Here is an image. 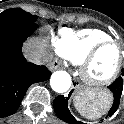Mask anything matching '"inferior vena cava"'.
<instances>
[{"instance_id": "inferior-vena-cava-1", "label": "inferior vena cava", "mask_w": 124, "mask_h": 124, "mask_svg": "<svg viewBox=\"0 0 124 124\" xmlns=\"http://www.w3.org/2000/svg\"><path fill=\"white\" fill-rule=\"evenodd\" d=\"M27 56H28V59L30 62H33V63L38 64V65L43 64L45 59H46L45 55H42V54L37 53V52H33Z\"/></svg>"}]
</instances>
